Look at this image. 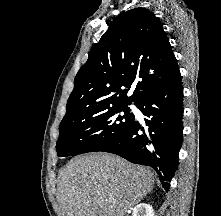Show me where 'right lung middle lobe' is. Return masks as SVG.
I'll list each match as a JSON object with an SVG mask.
<instances>
[{"mask_svg":"<svg viewBox=\"0 0 221 216\" xmlns=\"http://www.w3.org/2000/svg\"><path fill=\"white\" fill-rule=\"evenodd\" d=\"M129 104L88 112L75 121H61L56 150L59 157L100 151L134 121Z\"/></svg>","mask_w":221,"mask_h":216,"instance_id":"right-lung-middle-lobe-1","label":"right lung middle lobe"}]
</instances>
